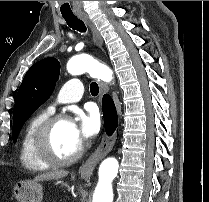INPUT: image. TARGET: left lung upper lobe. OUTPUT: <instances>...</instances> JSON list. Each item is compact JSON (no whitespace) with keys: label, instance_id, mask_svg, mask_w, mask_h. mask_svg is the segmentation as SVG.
Listing matches in <instances>:
<instances>
[{"label":"left lung upper lobe","instance_id":"5c2ea615","mask_svg":"<svg viewBox=\"0 0 209 202\" xmlns=\"http://www.w3.org/2000/svg\"><path fill=\"white\" fill-rule=\"evenodd\" d=\"M59 73V61L49 57L35 63L25 74L13 110L12 138L14 142L25 121L52 94Z\"/></svg>","mask_w":209,"mask_h":202}]
</instances>
